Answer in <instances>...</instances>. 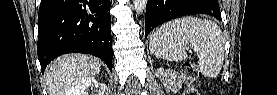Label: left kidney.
<instances>
[{
	"label": "left kidney",
	"mask_w": 277,
	"mask_h": 95,
	"mask_svg": "<svg viewBox=\"0 0 277 95\" xmlns=\"http://www.w3.org/2000/svg\"><path fill=\"white\" fill-rule=\"evenodd\" d=\"M156 76H158L165 85H167L170 89H174L181 83L179 79H177V75L175 72L170 70H165L164 68H159L156 71Z\"/></svg>",
	"instance_id": "5707ae66"
}]
</instances>
